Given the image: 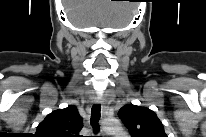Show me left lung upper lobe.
<instances>
[{
    "label": "left lung upper lobe",
    "instance_id": "5c2ea615",
    "mask_svg": "<svg viewBox=\"0 0 206 137\" xmlns=\"http://www.w3.org/2000/svg\"><path fill=\"white\" fill-rule=\"evenodd\" d=\"M118 116L132 137H167L156 113L146 107L128 104L119 110Z\"/></svg>",
    "mask_w": 206,
    "mask_h": 137
}]
</instances>
